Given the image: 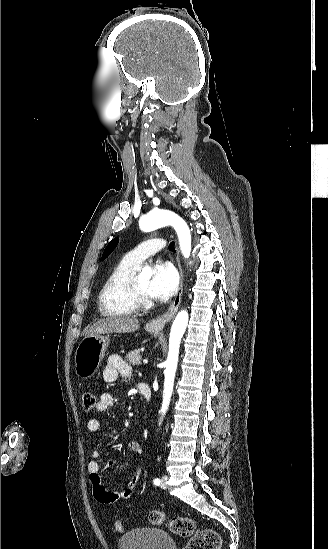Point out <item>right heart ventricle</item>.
<instances>
[{
  "mask_svg": "<svg viewBox=\"0 0 328 549\" xmlns=\"http://www.w3.org/2000/svg\"><path fill=\"white\" fill-rule=\"evenodd\" d=\"M140 263L122 256L111 273L104 281L98 295V310L101 319H135V312L123 309L129 304L124 297L126 280L132 275Z\"/></svg>",
  "mask_w": 328,
  "mask_h": 549,
  "instance_id": "1",
  "label": "right heart ventricle"
}]
</instances>
